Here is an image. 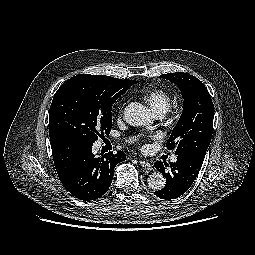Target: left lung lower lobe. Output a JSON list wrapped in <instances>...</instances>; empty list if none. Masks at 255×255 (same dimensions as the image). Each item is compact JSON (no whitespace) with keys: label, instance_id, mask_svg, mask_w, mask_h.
<instances>
[{"label":"left lung lower lobe","instance_id":"left-lung-lower-lobe-1","mask_svg":"<svg viewBox=\"0 0 255 255\" xmlns=\"http://www.w3.org/2000/svg\"><path fill=\"white\" fill-rule=\"evenodd\" d=\"M203 160L195 155L184 154L177 155V161L170 162L169 165L161 161L155 162V168L166 177V185L154 194L166 200L175 199L184 194L196 179ZM167 166L170 167L168 171L166 170Z\"/></svg>","mask_w":255,"mask_h":255}]
</instances>
